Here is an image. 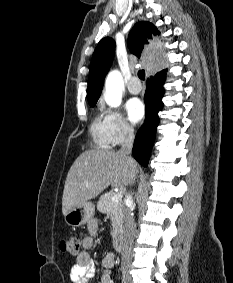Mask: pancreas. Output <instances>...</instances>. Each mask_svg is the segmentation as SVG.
<instances>
[{
	"label": "pancreas",
	"instance_id": "pancreas-1",
	"mask_svg": "<svg viewBox=\"0 0 233 283\" xmlns=\"http://www.w3.org/2000/svg\"><path fill=\"white\" fill-rule=\"evenodd\" d=\"M114 194L113 191L103 194L97 203V208L100 212L110 217L113 227L112 233L113 235H117L122 230L124 206L121 200L112 201Z\"/></svg>",
	"mask_w": 233,
	"mask_h": 283
}]
</instances>
